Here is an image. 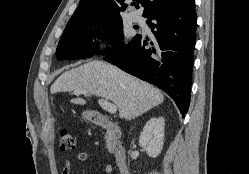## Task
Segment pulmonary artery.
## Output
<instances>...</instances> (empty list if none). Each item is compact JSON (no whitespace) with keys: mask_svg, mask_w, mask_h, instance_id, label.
I'll return each instance as SVG.
<instances>
[{"mask_svg":"<svg viewBox=\"0 0 249 174\" xmlns=\"http://www.w3.org/2000/svg\"><path fill=\"white\" fill-rule=\"evenodd\" d=\"M133 20L135 22H137V23H143L144 22V18L139 14L133 15Z\"/></svg>","mask_w":249,"mask_h":174,"instance_id":"obj_1","label":"pulmonary artery"}]
</instances>
